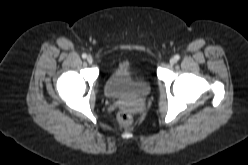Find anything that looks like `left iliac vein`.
<instances>
[{"mask_svg": "<svg viewBox=\"0 0 248 165\" xmlns=\"http://www.w3.org/2000/svg\"><path fill=\"white\" fill-rule=\"evenodd\" d=\"M175 63H176V59H175V58H171V59H170V64H171V65H174Z\"/></svg>", "mask_w": 248, "mask_h": 165, "instance_id": "left-iliac-vein-1", "label": "left iliac vein"}]
</instances>
